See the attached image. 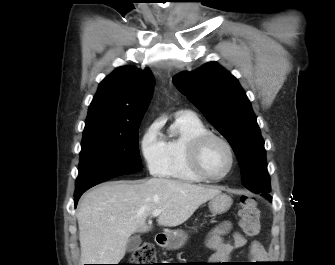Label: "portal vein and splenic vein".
<instances>
[{"label":"portal vein and splenic vein","mask_w":335,"mask_h":265,"mask_svg":"<svg viewBox=\"0 0 335 265\" xmlns=\"http://www.w3.org/2000/svg\"><path fill=\"white\" fill-rule=\"evenodd\" d=\"M161 214V210H155L152 212V217H157Z\"/></svg>","instance_id":"1"}]
</instances>
